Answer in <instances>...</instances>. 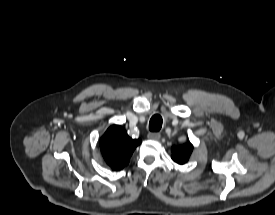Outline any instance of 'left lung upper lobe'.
Instances as JSON below:
<instances>
[{
	"instance_id": "5c2ea615",
	"label": "left lung upper lobe",
	"mask_w": 275,
	"mask_h": 215,
	"mask_svg": "<svg viewBox=\"0 0 275 215\" xmlns=\"http://www.w3.org/2000/svg\"><path fill=\"white\" fill-rule=\"evenodd\" d=\"M193 150L191 143L179 147H172V159L178 164H184L188 161Z\"/></svg>"
}]
</instances>
